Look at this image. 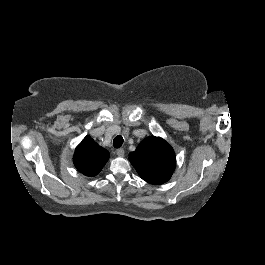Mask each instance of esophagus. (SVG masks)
<instances>
[{"instance_id": "obj_1", "label": "esophagus", "mask_w": 265, "mask_h": 265, "mask_svg": "<svg viewBox=\"0 0 265 265\" xmlns=\"http://www.w3.org/2000/svg\"><path fill=\"white\" fill-rule=\"evenodd\" d=\"M117 155H118L119 157H123V156H124V149H123V148H119V149H117Z\"/></svg>"}]
</instances>
